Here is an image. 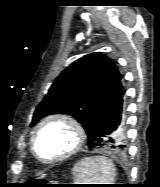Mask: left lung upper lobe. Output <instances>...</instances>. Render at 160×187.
Wrapping results in <instances>:
<instances>
[{
  "label": "left lung upper lobe",
  "mask_w": 160,
  "mask_h": 187,
  "mask_svg": "<svg viewBox=\"0 0 160 187\" xmlns=\"http://www.w3.org/2000/svg\"><path fill=\"white\" fill-rule=\"evenodd\" d=\"M123 89L115 62L101 53H91L73 62L53 82L37 106L31 125L47 115L65 113L75 117L88 133L103 107ZM112 138L123 139V127Z\"/></svg>",
  "instance_id": "left-lung-upper-lobe-1"
}]
</instances>
